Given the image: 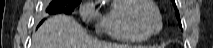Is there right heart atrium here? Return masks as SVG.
<instances>
[{
  "label": "right heart atrium",
  "instance_id": "1",
  "mask_svg": "<svg viewBox=\"0 0 213 48\" xmlns=\"http://www.w3.org/2000/svg\"><path fill=\"white\" fill-rule=\"evenodd\" d=\"M80 16L83 21L90 23L97 21L100 17V13L96 8L94 1H88L81 5L80 7Z\"/></svg>",
  "mask_w": 213,
  "mask_h": 48
}]
</instances>
